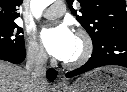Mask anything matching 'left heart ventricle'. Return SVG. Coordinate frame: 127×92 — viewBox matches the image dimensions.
<instances>
[{"label":"left heart ventricle","instance_id":"left-heart-ventricle-1","mask_svg":"<svg viewBox=\"0 0 127 92\" xmlns=\"http://www.w3.org/2000/svg\"><path fill=\"white\" fill-rule=\"evenodd\" d=\"M81 51H82V43L77 37H75L73 50H72L70 56L65 61H71V60L77 58L80 55Z\"/></svg>","mask_w":127,"mask_h":92}]
</instances>
